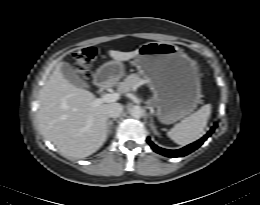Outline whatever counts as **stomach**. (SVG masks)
Segmentation results:
<instances>
[{
    "instance_id": "stomach-1",
    "label": "stomach",
    "mask_w": 260,
    "mask_h": 205,
    "mask_svg": "<svg viewBox=\"0 0 260 205\" xmlns=\"http://www.w3.org/2000/svg\"><path fill=\"white\" fill-rule=\"evenodd\" d=\"M135 64L153 93L161 123H175L192 113L201 102L198 67L173 43L148 42L141 45ZM123 75V66L116 60L103 64L96 73L101 84L115 83Z\"/></svg>"
}]
</instances>
